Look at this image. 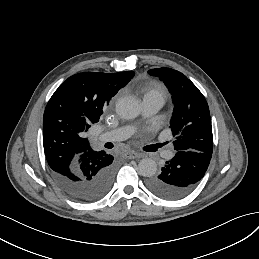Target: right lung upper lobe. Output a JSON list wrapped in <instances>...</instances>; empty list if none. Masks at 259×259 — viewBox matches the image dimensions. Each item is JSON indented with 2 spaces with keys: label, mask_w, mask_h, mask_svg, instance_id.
Returning <instances> with one entry per match:
<instances>
[{
  "label": "right lung upper lobe",
  "mask_w": 259,
  "mask_h": 259,
  "mask_svg": "<svg viewBox=\"0 0 259 259\" xmlns=\"http://www.w3.org/2000/svg\"><path fill=\"white\" fill-rule=\"evenodd\" d=\"M133 76V71L83 72L59 86L43 117V146L52 171L68 172L94 153L85 133L99 121L103 107Z\"/></svg>",
  "instance_id": "1"
}]
</instances>
